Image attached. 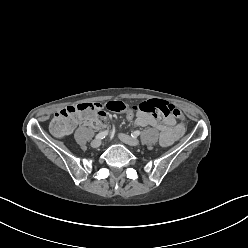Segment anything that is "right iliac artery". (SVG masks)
Listing matches in <instances>:
<instances>
[{"instance_id": "right-iliac-artery-1", "label": "right iliac artery", "mask_w": 248, "mask_h": 248, "mask_svg": "<svg viewBox=\"0 0 248 248\" xmlns=\"http://www.w3.org/2000/svg\"><path fill=\"white\" fill-rule=\"evenodd\" d=\"M107 134H108V131L100 132L99 134L96 135V139H103L107 136Z\"/></svg>"}]
</instances>
